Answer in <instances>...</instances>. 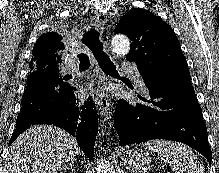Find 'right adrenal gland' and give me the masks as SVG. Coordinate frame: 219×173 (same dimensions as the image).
Instances as JSON below:
<instances>
[{"instance_id":"right-adrenal-gland-1","label":"right adrenal gland","mask_w":219,"mask_h":173,"mask_svg":"<svg viewBox=\"0 0 219 173\" xmlns=\"http://www.w3.org/2000/svg\"><path fill=\"white\" fill-rule=\"evenodd\" d=\"M66 170H72L73 173H77L76 169L74 168V162L70 163L69 167H67L64 171V173L66 172Z\"/></svg>"}]
</instances>
